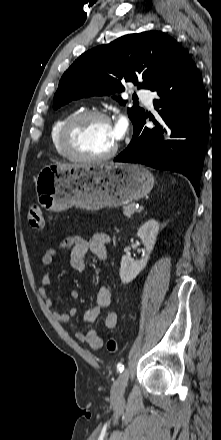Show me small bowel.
<instances>
[{"instance_id":"obj_1","label":"small bowel","mask_w":221,"mask_h":440,"mask_svg":"<svg viewBox=\"0 0 221 440\" xmlns=\"http://www.w3.org/2000/svg\"><path fill=\"white\" fill-rule=\"evenodd\" d=\"M109 242V237L106 234H96L89 239H83L80 236H68L64 238L56 248L48 249L41 259V264L44 269L41 276V285L39 287V294L43 297L46 305L49 308L55 306V301L49 295V288L51 287L52 280L49 272V267L53 262L55 255L66 248H71L70 265L76 271H84L87 267L86 256L90 251L101 259L107 258L106 246ZM72 299L79 298V292L73 290L71 292ZM96 306L88 309L84 314V321L86 323L95 322L102 309H106L110 306L112 301L111 290L107 286L100 288L97 294ZM77 310L71 308L67 312H56L54 317L62 323L68 322L71 317L76 314ZM104 325L107 329H114L117 325V314L113 311H109L104 316ZM76 338L79 342L88 344L93 349H99L103 345V340L99 333L92 329L87 332H77Z\"/></svg>"}]
</instances>
